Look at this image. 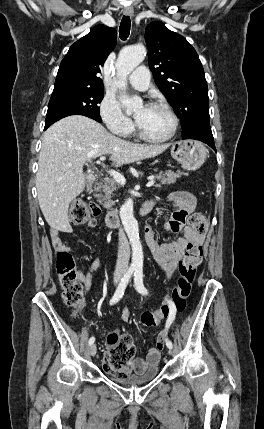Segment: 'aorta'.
<instances>
[{"instance_id": "762f6f07", "label": "aorta", "mask_w": 264, "mask_h": 429, "mask_svg": "<svg viewBox=\"0 0 264 429\" xmlns=\"http://www.w3.org/2000/svg\"><path fill=\"white\" fill-rule=\"evenodd\" d=\"M145 54L146 50L143 45L124 47L120 51L116 62L118 76L116 86L120 90H124L126 88L128 75L144 60ZM120 102L125 107L127 113H130L142 106V99L140 97H129L126 93H121ZM120 218L132 247L131 268L142 269L143 250L139 238L138 222L133 215L132 199L129 198L121 206Z\"/></svg>"}]
</instances>
